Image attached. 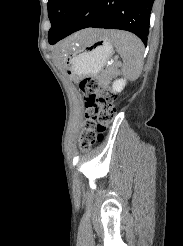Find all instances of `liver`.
<instances>
[{
  "label": "liver",
  "instance_id": "6515ba94",
  "mask_svg": "<svg viewBox=\"0 0 183 246\" xmlns=\"http://www.w3.org/2000/svg\"><path fill=\"white\" fill-rule=\"evenodd\" d=\"M105 31L104 30H97V29H87L76 33L71 38L67 39L60 45V48L63 51H72L74 47L77 45L80 46L87 42L94 41L95 39L99 38Z\"/></svg>",
  "mask_w": 183,
  "mask_h": 246
}]
</instances>
